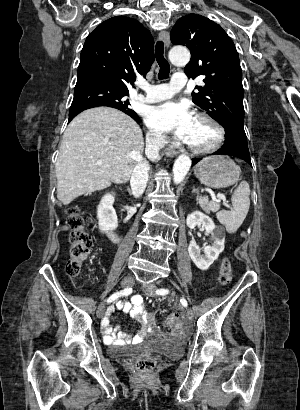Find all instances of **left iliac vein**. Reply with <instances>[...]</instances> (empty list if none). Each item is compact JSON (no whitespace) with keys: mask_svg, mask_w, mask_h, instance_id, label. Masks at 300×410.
<instances>
[{"mask_svg":"<svg viewBox=\"0 0 300 410\" xmlns=\"http://www.w3.org/2000/svg\"><path fill=\"white\" fill-rule=\"evenodd\" d=\"M142 289H143V291L145 292V294H147V295H149V296H151V297H153V296H155V289H156V285L155 284H153V283H149V284H144L143 286H142ZM186 316H187V318H189V319H192L193 318V311L190 309V308H187L186 309Z\"/></svg>","mask_w":300,"mask_h":410,"instance_id":"obj_1","label":"left iliac vein"}]
</instances>
